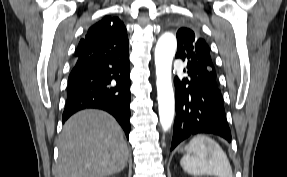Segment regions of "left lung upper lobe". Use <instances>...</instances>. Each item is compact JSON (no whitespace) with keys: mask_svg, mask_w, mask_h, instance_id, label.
I'll use <instances>...</instances> for the list:
<instances>
[{"mask_svg":"<svg viewBox=\"0 0 287 177\" xmlns=\"http://www.w3.org/2000/svg\"><path fill=\"white\" fill-rule=\"evenodd\" d=\"M178 48L176 56L187 60V67L207 83H217L216 72L210 56V49L204 39L189 28L177 31Z\"/></svg>","mask_w":287,"mask_h":177,"instance_id":"obj_1","label":"left lung upper lobe"}]
</instances>
